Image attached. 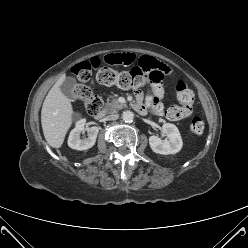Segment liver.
Wrapping results in <instances>:
<instances>
[{
    "instance_id": "6515ba94",
    "label": "liver",
    "mask_w": 248,
    "mask_h": 248,
    "mask_svg": "<svg viewBox=\"0 0 248 248\" xmlns=\"http://www.w3.org/2000/svg\"><path fill=\"white\" fill-rule=\"evenodd\" d=\"M63 74L48 92L41 110V125L47 143L60 148L73 122V108L70 100L62 93L60 86L65 81Z\"/></svg>"
}]
</instances>
